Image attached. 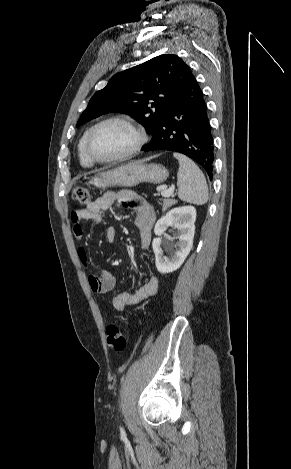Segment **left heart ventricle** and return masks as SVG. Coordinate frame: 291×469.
<instances>
[{
  "label": "left heart ventricle",
  "mask_w": 291,
  "mask_h": 469,
  "mask_svg": "<svg viewBox=\"0 0 291 469\" xmlns=\"http://www.w3.org/2000/svg\"><path fill=\"white\" fill-rule=\"evenodd\" d=\"M136 139V134L130 127L123 123L112 122L94 132L91 150L99 158H111L130 150Z\"/></svg>",
  "instance_id": "obj_1"
}]
</instances>
